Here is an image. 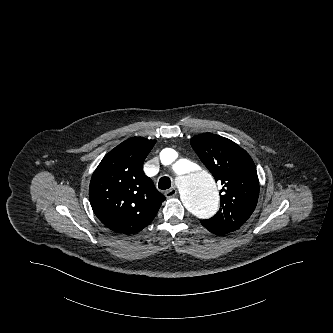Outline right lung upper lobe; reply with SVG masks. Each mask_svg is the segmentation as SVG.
<instances>
[{
    "mask_svg": "<svg viewBox=\"0 0 333 333\" xmlns=\"http://www.w3.org/2000/svg\"><path fill=\"white\" fill-rule=\"evenodd\" d=\"M155 143L143 137L122 142L102 159L92 175V209L115 232L141 231L151 223L165 200L143 172V162Z\"/></svg>",
    "mask_w": 333,
    "mask_h": 333,
    "instance_id": "1",
    "label": "right lung upper lobe"
}]
</instances>
